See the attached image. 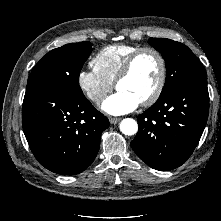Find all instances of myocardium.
Segmentation results:
<instances>
[{"instance_id": "f54148a6", "label": "myocardium", "mask_w": 221, "mask_h": 221, "mask_svg": "<svg viewBox=\"0 0 221 221\" xmlns=\"http://www.w3.org/2000/svg\"><path fill=\"white\" fill-rule=\"evenodd\" d=\"M147 52L152 53L157 57L159 61V66H160V73H159V79H158L155 89L153 90V92L150 94L149 97H147L145 100L141 102L143 106L153 105L160 98L165 87L166 78H167V65H166V60L163 54L159 50H157L154 47H140L139 49L134 51L126 59L123 67L121 68L115 80V87L118 89L119 83L131 74L134 64L137 61V59L142 54L147 53Z\"/></svg>"}]
</instances>
